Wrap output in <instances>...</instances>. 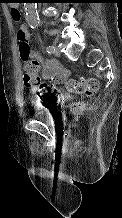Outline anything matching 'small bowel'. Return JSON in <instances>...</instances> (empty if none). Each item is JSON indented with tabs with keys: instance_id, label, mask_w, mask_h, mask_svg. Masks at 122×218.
Here are the masks:
<instances>
[{
	"instance_id": "c3829d8e",
	"label": "small bowel",
	"mask_w": 122,
	"mask_h": 218,
	"mask_svg": "<svg viewBox=\"0 0 122 218\" xmlns=\"http://www.w3.org/2000/svg\"><path fill=\"white\" fill-rule=\"evenodd\" d=\"M23 28L26 29L24 25ZM32 60L39 64L38 72H40V75L38 74V77L57 83L67 81L69 71L62 69L58 62L51 59H42L38 54H33Z\"/></svg>"
}]
</instances>
